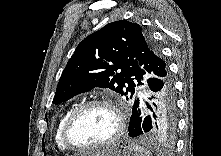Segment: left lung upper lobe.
Here are the masks:
<instances>
[{"label":"left lung upper lobe","mask_w":221,"mask_h":156,"mask_svg":"<svg viewBox=\"0 0 221 156\" xmlns=\"http://www.w3.org/2000/svg\"><path fill=\"white\" fill-rule=\"evenodd\" d=\"M168 66L140 25L126 20L107 24L81 41L58 82L54 104L95 87L132 98L152 71Z\"/></svg>","instance_id":"5c2ea615"}]
</instances>
